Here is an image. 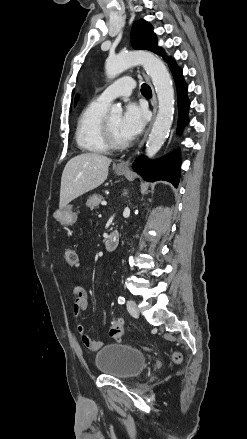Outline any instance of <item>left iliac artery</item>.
<instances>
[{
    "label": "left iliac artery",
    "mask_w": 247,
    "mask_h": 439,
    "mask_svg": "<svg viewBox=\"0 0 247 439\" xmlns=\"http://www.w3.org/2000/svg\"><path fill=\"white\" fill-rule=\"evenodd\" d=\"M118 303L119 304H124L125 303V298L123 296H119L118 297Z\"/></svg>",
    "instance_id": "1"
}]
</instances>
